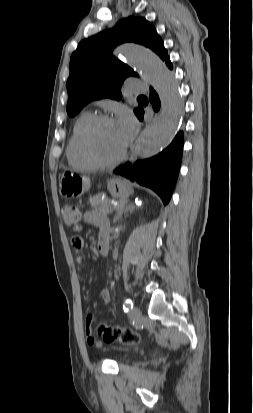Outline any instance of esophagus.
<instances>
[{"mask_svg": "<svg viewBox=\"0 0 253 413\" xmlns=\"http://www.w3.org/2000/svg\"><path fill=\"white\" fill-rule=\"evenodd\" d=\"M140 137H141V135H140ZM140 137H139V139H140ZM139 139L136 141V144H135V146H134L133 149H132V153H131V156H130V160H134V159L137 157V155H138Z\"/></svg>", "mask_w": 253, "mask_h": 413, "instance_id": "1", "label": "esophagus"}]
</instances>
